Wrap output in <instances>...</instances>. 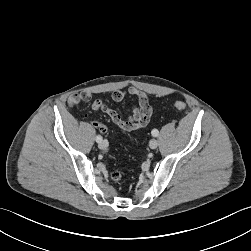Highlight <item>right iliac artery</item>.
Returning a JSON list of instances; mask_svg holds the SVG:
<instances>
[{"mask_svg":"<svg viewBox=\"0 0 251 251\" xmlns=\"http://www.w3.org/2000/svg\"><path fill=\"white\" fill-rule=\"evenodd\" d=\"M101 141H102V137H101L100 135H97V136H96V142L99 143V142H101Z\"/></svg>","mask_w":251,"mask_h":251,"instance_id":"82829eb1","label":"right iliac artery"}]
</instances>
